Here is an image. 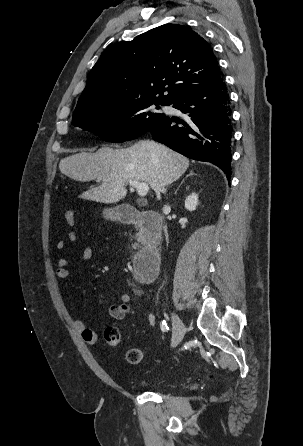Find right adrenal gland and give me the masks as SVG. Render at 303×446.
I'll list each match as a JSON object with an SVG mask.
<instances>
[{"label":"right adrenal gland","instance_id":"obj_1","mask_svg":"<svg viewBox=\"0 0 303 446\" xmlns=\"http://www.w3.org/2000/svg\"><path fill=\"white\" fill-rule=\"evenodd\" d=\"M193 175H194V172H193V171H190V173H189V174H188V175L181 181L180 185L178 186L177 190L175 191V194H177V192H178L180 186L182 185V183L184 182V180H185L187 177H189V176H193Z\"/></svg>","mask_w":303,"mask_h":446}]
</instances>
